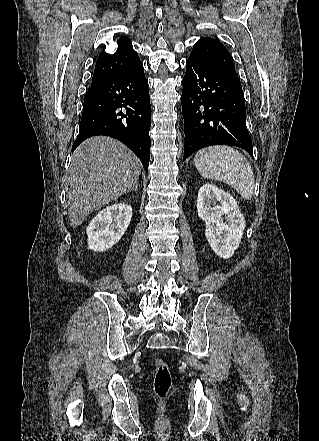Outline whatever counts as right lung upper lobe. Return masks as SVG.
Masks as SVG:
<instances>
[{
	"instance_id": "obj_1",
	"label": "right lung upper lobe",
	"mask_w": 319,
	"mask_h": 441,
	"mask_svg": "<svg viewBox=\"0 0 319 441\" xmlns=\"http://www.w3.org/2000/svg\"><path fill=\"white\" fill-rule=\"evenodd\" d=\"M140 63L141 61L133 49L129 38L120 37L117 40V50L114 54L100 53L91 84L94 85L116 74L127 71Z\"/></svg>"
}]
</instances>
